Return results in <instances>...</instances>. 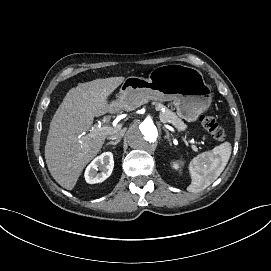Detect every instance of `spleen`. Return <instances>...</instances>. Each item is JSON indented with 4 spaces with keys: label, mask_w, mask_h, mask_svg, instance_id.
<instances>
[{
    "label": "spleen",
    "mask_w": 271,
    "mask_h": 271,
    "mask_svg": "<svg viewBox=\"0 0 271 271\" xmlns=\"http://www.w3.org/2000/svg\"><path fill=\"white\" fill-rule=\"evenodd\" d=\"M232 151L229 141H224L214 148L213 153L194 157L188 164L191 184L187 191L197 193L212 184L226 167Z\"/></svg>",
    "instance_id": "spleen-1"
}]
</instances>
